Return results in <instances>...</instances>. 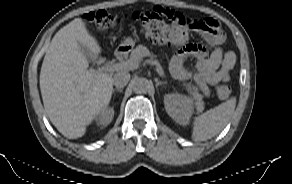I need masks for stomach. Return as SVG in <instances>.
<instances>
[{"label":"stomach","mask_w":292,"mask_h":184,"mask_svg":"<svg viewBox=\"0 0 292 184\" xmlns=\"http://www.w3.org/2000/svg\"><path fill=\"white\" fill-rule=\"evenodd\" d=\"M135 45V41L131 37H126L120 44V47L131 48Z\"/></svg>","instance_id":"0dacf381"}]
</instances>
